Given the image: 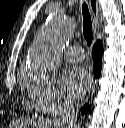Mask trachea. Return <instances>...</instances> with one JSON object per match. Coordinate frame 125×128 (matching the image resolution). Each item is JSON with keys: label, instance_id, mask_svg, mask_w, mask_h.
Here are the masks:
<instances>
[{"label": "trachea", "instance_id": "1", "mask_svg": "<svg viewBox=\"0 0 125 128\" xmlns=\"http://www.w3.org/2000/svg\"><path fill=\"white\" fill-rule=\"evenodd\" d=\"M82 14H83V35L88 45L92 43V21L89 13L88 5L86 2L82 4Z\"/></svg>", "mask_w": 125, "mask_h": 128}]
</instances>
